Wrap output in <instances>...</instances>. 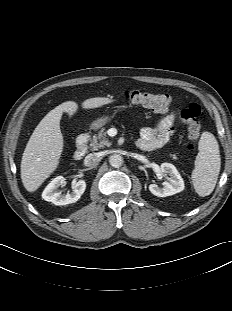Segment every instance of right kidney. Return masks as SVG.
<instances>
[{
	"label": "right kidney",
	"instance_id": "obj_1",
	"mask_svg": "<svg viewBox=\"0 0 232 311\" xmlns=\"http://www.w3.org/2000/svg\"><path fill=\"white\" fill-rule=\"evenodd\" d=\"M64 185L65 178L63 176L54 178L44 189L42 198L55 205H67L78 201L86 189V182L84 180H79L73 187L71 193L62 195L61 192H58V188Z\"/></svg>",
	"mask_w": 232,
	"mask_h": 311
}]
</instances>
